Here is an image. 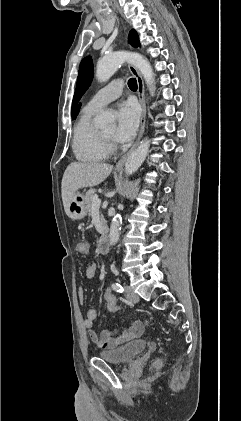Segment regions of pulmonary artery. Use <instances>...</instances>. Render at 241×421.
I'll list each match as a JSON object with an SVG mask.
<instances>
[{
  "mask_svg": "<svg viewBox=\"0 0 241 421\" xmlns=\"http://www.w3.org/2000/svg\"><path fill=\"white\" fill-rule=\"evenodd\" d=\"M123 90V83L121 80H114L109 83L107 86L99 90L93 95V97L88 102V106L99 110L108 103L120 97Z\"/></svg>",
  "mask_w": 241,
  "mask_h": 421,
  "instance_id": "1",
  "label": "pulmonary artery"
}]
</instances>
